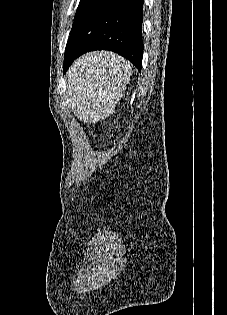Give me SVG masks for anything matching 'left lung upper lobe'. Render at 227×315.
<instances>
[{"label": "left lung upper lobe", "instance_id": "1", "mask_svg": "<svg viewBox=\"0 0 227 315\" xmlns=\"http://www.w3.org/2000/svg\"><path fill=\"white\" fill-rule=\"evenodd\" d=\"M98 0H80L79 6L74 19L73 28L76 23L83 18ZM72 28V30H73Z\"/></svg>", "mask_w": 227, "mask_h": 315}]
</instances>
